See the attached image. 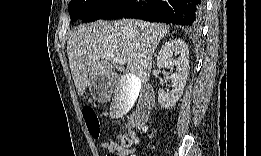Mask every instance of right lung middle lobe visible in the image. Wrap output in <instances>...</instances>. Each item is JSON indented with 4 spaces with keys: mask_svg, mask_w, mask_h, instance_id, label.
I'll use <instances>...</instances> for the list:
<instances>
[{
    "mask_svg": "<svg viewBox=\"0 0 261 156\" xmlns=\"http://www.w3.org/2000/svg\"><path fill=\"white\" fill-rule=\"evenodd\" d=\"M118 0H72L68 5L71 21L90 22L102 18Z\"/></svg>",
    "mask_w": 261,
    "mask_h": 156,
    "instance_id": "right-lung-middle-lobe-1",
    "label": "right lung middle lobe"
}]
</instances>
